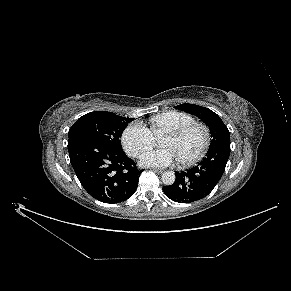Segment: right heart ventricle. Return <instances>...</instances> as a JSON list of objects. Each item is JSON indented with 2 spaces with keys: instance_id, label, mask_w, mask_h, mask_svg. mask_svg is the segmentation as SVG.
<instances>
[{
  "instance_id": "right-heart-ventricle-1",
  "label": "right heart ventricle",
  "mask_w": 291,
  "mask_h": 291,
  "mask_svg": "<svg viewBox=\"0 0 291 291\" xmlns=\"http://www.w3.org/2000/svg\"><path fill=\"white\" fill-rule=\"evenodd\" d=\"M194 122L196 120L191 114L170 110L153 116L150 119V130L155 137H161Z\"/></svg>"
}]
</instances>
